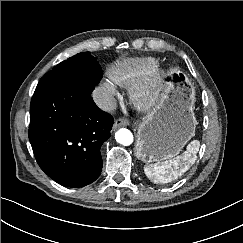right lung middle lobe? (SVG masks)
Listing matches in <instances>:
<instances>
[{"label": "right lung middle lobe", "instance_id": "right-lung-middle-lobe-1", "mask_svg": "<svg viewBox=\"0 0 243 243\" xmlns=\"http://www.w3.org/2000/svg\"><path fill=\"white\" fill-rule=\"evenodd\" d=\"M101 78V67L96 59L90 52H81L55 66L40 79L39 84H98Z\"/></svg>", "mask_w": 243, "mask_h": 243}]
</instances>
